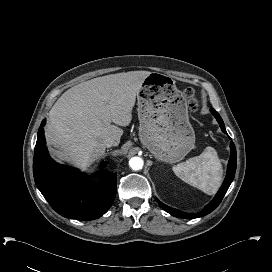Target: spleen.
<instances>
[{
    "label": "spleen",
    "mask_w": 272,
    "mask_h": 272,
    "mask_svg": "<svg viewBox=\"0 0 272 272\" xmlns=\"http://www.w3.org/2000/svg\"><path fill=\"white\" fill-rule=\"evenodd\" d=\"M172 170L181 180L208 195L216 193L222 181V165L212 147H206L199 156L173 166Z\"/></svg>",
    "instance_id": "1"
}]
</instances>
